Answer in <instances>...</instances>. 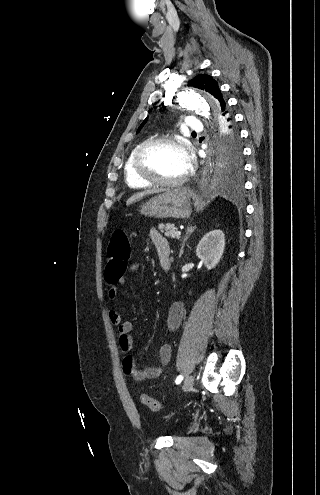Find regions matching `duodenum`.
<instances>
[{"label":"duodenum","mask_w":320,"mask_h":495,"mask_svg":"<svg viewBox=\"0 0 320 495\" xmlns=\"http://www.w3.org/2000/svg\"><path fill=\"white\" fill-rule=\"evenodd\" d=\"M160 263L163 270L168 271L171 267V259H170V248L165 249L159 254Z\"/></svg>","instance_id":"1"}]
</instances>
